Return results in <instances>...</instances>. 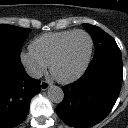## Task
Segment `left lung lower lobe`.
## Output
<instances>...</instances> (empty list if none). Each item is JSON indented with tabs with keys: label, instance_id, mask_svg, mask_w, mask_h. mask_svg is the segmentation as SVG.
Masks as SVG:
<instances>
[{
	"label": "left lung lower lobe",
	"instance_id": "obj_1",
	"mask_svg": "<svg viewBox=\"0 0 128 128\" xmlns=\"http://www.w3.org/2000/svg\"><path fill=\"white\" fill-rule=\"evenodd\" d=\"M122 56L112 49L94 56L80 80L62 87L58 116L69 126L92 127L112 110L122 85Z\"/></svg>",
	"mask_w": 128,
	"mask_h": 128
}]
</instances>
